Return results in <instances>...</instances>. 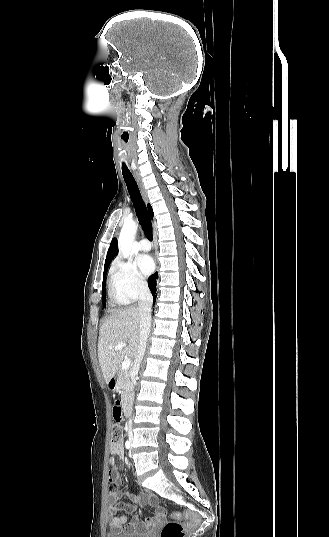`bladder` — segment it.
<instances>
[{
    "label": "bladder",
    "instance_id": "bladder-1",
    "mask_svg": "<svg viewBox=\"0 0 329 537\" xmlns=\"http://www.w3.org/2000/svg\"><path fill=\"white\" fill-rule=\"evenodd\" d=\"M106 537H153L150 533L128 534L121 531L109 530Z\"/></svg>",
    "mask_w": 329,
    "mask_h": 537
}]
</instances>
